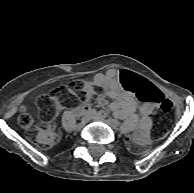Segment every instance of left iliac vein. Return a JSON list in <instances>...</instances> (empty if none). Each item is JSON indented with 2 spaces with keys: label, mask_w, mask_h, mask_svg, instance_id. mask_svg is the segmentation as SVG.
I'll return each instance as SVG.
<instances>
[{
  "label": "left iliac vein",
  "mask_w": 194,
  "mask_h": 193,
  "mask_svg": "<svg viewBox=\"0 0 194 193\" xmlns=\"http://www.w3.org/2000/svg\"><path fill=\"white\" fill-rule=\"evenodd\" d=\"M95 120H101V118H94ZM103 122H105L107 125H109L110 127L112 128H117L119 126V122L115 119H106V120H103Z\"/></svg>",
  "instance_id": "4c4485c4"
}]
</instances>
